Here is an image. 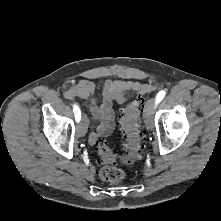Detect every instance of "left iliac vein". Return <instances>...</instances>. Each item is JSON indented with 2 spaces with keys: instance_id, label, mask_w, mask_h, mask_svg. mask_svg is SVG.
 <instances>
[{
  "instance_id": "left-iliac-vein-1",
  "label": "left iliac vein",
  "mask_w": 221,
  "mask_h": 221,
  "mask_svg": "<svg viewBox=\"0 0 221 221\" xmlns=\"http://www.w3.org/2000/svg\"><path fill=\"white\" fill-rule=\"evenodd\" d=\"M156 106V99L151 98L147 101L144 109V122L145 126L148 130H152L154 128V119H153V111Z\"/></svg>"
}]
</instances>
